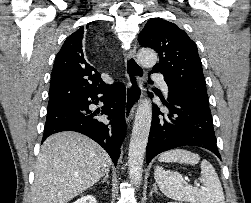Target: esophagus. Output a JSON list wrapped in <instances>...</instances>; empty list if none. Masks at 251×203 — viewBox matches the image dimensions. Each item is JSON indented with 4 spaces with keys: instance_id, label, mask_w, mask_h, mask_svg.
<instances>
[{
    "instance_id": "1",
    "label": "esophagus",
    "mask_w": 251,
    "mask_h": 203,
    "mask_svg": "<svg viewBox=\"0 0 251 203\" xmlns=\"http://www.w3.org/2000/svg\"><path fill=\"white\" fill-rule=\"evenodd\" d=\"M137 45L134 44L129 51L125 67H126V103H125V119L127 124L130 123L134 116L136 106L142 98V85L141 81L145 76L143 67L136 59Z\"/></svg>"
}]
</instances>
